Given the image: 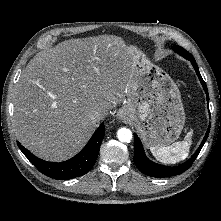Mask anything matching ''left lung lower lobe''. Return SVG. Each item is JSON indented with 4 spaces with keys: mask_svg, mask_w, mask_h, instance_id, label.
<instances>
[{
    "mask_svg": "<svg viewBox=\"0 0 221 221\" xmlns=\"http://www.w3.org/2000/svg\"><path fill=\"white\" fill-rule=\"evenodd\" d=\"M188 60L191 61L192 65H193V67H194V69L200 79V82L206 92L207 102L209 104V95H208L207 87H206V84H205V82L199 72L198 66H197L193 57H189ZM209 131H210V126L205 134V137H204L201 145L199 146L198 150L194 153V155L188 161H186L183 165H179L176 167H167V166L159 165L157 163L150 161L144 153V149H143V146H142V143H141L139 137L136 134H134V143H135L134 162H135V165L138 167V169L142 173H144L148 176H151V177H170V176L181 174L184 171H186L191 166V164L194 162V160L196 159L201 148L203 147L204 143L206 142Z\"/></svg>",
    "mask_w": 221,
    "mask_h": 221,
    "instance_id": "obj_1",
    "label": "left lung lower lobe"
}]
</instances>
